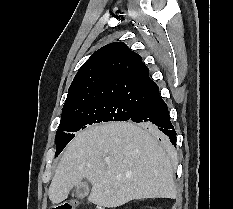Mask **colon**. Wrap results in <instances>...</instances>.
<instances>
[{"label":"colon","mask_w":233,"mask_h":209,"mask_svg":"<svg viewBox=\"0 0 233 209\" xmlns=\"http://www.w3.org/2000/svg\"><path fill=\"white\" fill-rule=\"evenodd\" d=\"M78 206V202L77 201H73V200H67V201H63L57 204H54L51 209H75ZM98 209H105V208H98Z\"/></svg>","instance_id":"1"}]
</instances>
